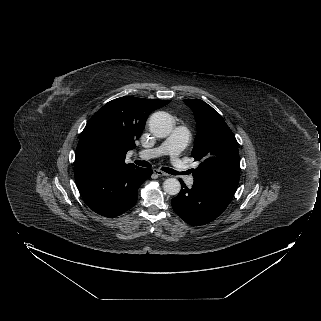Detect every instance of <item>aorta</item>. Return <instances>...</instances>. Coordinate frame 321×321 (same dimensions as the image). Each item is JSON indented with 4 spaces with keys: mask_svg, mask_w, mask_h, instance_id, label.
<instances>
[{
    "mask_svg": "<svg viewBox=\"0 0 321 321\" xmlns=\"http://www.w3.org/2000/svg\"><path fill=\"white\" fill-rule=\"evenodd\" d=\"M149 129L158 138L169 136L173 129L172 117L163 111L155 112L149 119ZM163 189L169 195H177L181 190V184L175 178H168L163 182Z\"/></svg>",
    "mask_w": 321,
    "mask_h": 321,
    "instance_id": "aorta-1",
    "label": "aorta"
}]
</instances>
